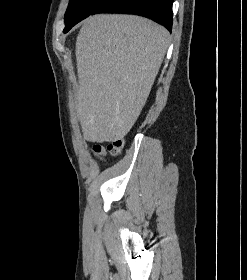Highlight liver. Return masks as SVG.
I'll list each match as a JSON object with an SVG mask.
<instances>
[{
	"label": "liver",
	"instance_id": "obj_1",
	"mask_svg": "<svg viewBox=\"0 0 247 280\" xmlns=\"http://www.w3.org/2000/svg\"><path fill=\"white\" fill-rule=\"evenodd\" d=\"M169 45L168 31L135 15L87 18L76 40L78 116L92 141L122 139L139 117Z\"/></svg>",
	"mask_w": 247,
	"mask_h": 280
}]
</instances>
